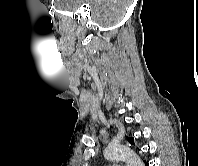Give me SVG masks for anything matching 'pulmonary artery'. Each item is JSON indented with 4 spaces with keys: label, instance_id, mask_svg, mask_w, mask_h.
<instances>
[{
    "label": "pulmonary artery",
    "instance_id": "obj_1",
    "mask_svg": "<svg viewBox=\"0 0 198 166\" xmlns=\"http://www.w3.org/2000/svg\"><path fill=\"white\" fill-rule=\"evenodd\" d=\"M112 166H120V165H112Z\"/></svg>",
    "mask_w": 198,
    "mask_h": 166
}]
</instances>
